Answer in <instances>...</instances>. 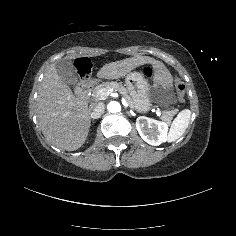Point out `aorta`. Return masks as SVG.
<instances>
[{
	"label": "aorta",
	"mask_w": 236,
	"mask_h": 236,
	"mask_svg": "<svg viewBox=\"0 0 236 236\" xmlns=\"http://www.w3.org/2000/svg\"><path fill=\"white\" fill-rule=\"evenodd\" d=\"M107 109L109 112L111 113H117L120 111L121 109V106H120V103L117 102V101H111L108 103L107 105Z\"/></svg>",
	"instance_id": "aorta-1"
}]
</instances>
